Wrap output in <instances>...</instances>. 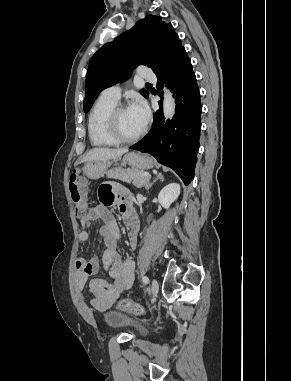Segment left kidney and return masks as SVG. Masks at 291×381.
Wrapping results in <instances>:
<instances>
[{
  "instance_id": "1",
  "label": "left kidney",
  "mask_w": 291,
  "mask_h": 381,
  "mask_svg": "<svg viewBox=\"0 0 291 381\" xmlns=\"http://www.w3.org/2000/svg\"><path fill=\"white\" fill-rule=\"evenodd\" d=\"M179 194L180 185L178 183H170L160 191L158 201L163 208L168 209L170 205L178 198Z\"/></svg>"
}]
</instances>
